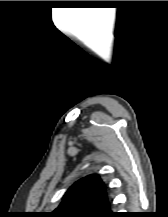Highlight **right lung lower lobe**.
<instances>
[{"label":"right lung lower lobe","instance_id":"obj_1","mask_svg":"<svg viewBox=\"0 0 168 217\" xmlns=\"http://www.w3.org/2000/svg\"><path fill=\"white\" fill-rule=\"evenodd\" d=\"M109 217H121V216H119L116 213H114L113 215H110Z\"/></svg>","mask_w":168,"mask_h":217}]
</instances>
